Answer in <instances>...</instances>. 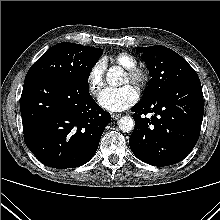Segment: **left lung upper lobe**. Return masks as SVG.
<instances>
[{"mask_svg": "<svg viewBox=\"0 0 220 220\" xmlns=\"http://www.w3.org/2000/svg\"><path fill=\"white\" fill-rule=\"evenodd\" d=\"M139 50L152 77L140 102H147L182 82L199 79L189 63L167 47L156 45Z\"/></svg>", "mask_w": 220, "mask_h": 220, "instance_id": "5c2ea615", "label": "left lung upper lobe"}]
</instances>
